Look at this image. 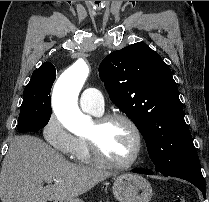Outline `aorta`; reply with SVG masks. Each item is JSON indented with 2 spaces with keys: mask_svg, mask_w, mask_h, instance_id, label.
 Returning <instances> with one entry per match:
<instances>
[{
  "mask_svg": "<svg viewBox=\"0 0 209 202\" xmlns=\"http://www.w3.org/2000/svg\"><path fill=\"white\" fill-rule=\"evenodd\" d=\"M89 72L88 65L80 58L64 71L53 89V110L62 125L75 134L87 131L91 125V118L84 115L77 104Z\"/></svg>",
  "mask_w": 209,
  "mask_h": 202,
  "instance_id": "obj_1",
  "label": "aorta"
}]
</instances>
